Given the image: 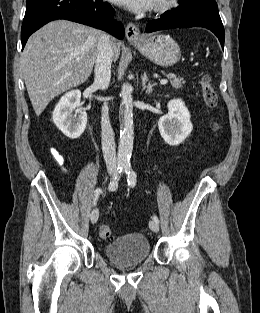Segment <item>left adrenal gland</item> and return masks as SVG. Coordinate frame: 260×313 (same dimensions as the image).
<instances>
[{
    "instance_id": "1",
    "label": "left adrenal gland",
    "mask_w": 260,
    "mask_h": 313,
    "mask_svg": "<svg viewBox=\"0 0 260 313\" xmlns=\"http://www.w3.org/2000/svg\"><path fill=\"white\" fill-rule=\"evenodd\" d=\"M147 82H148V77H147V74L144 73V75L142 76V87L146 91L147 94H150L153 91V87H155L157 84L148 82V84L146 85Z\"/></svg>"
}]
</instances>
